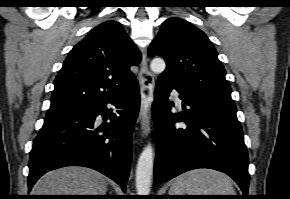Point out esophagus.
<instances>
[{
	"label": "esophagus",
	"mask_w": 290,
	"mask_h": 199,
	"mask_svg": "<svg viewBox=\"0 0 290 199\" xmlns=\"http://www.w3.org/2000/svg\"><path fill=\"white\" fill-rule=\"evenodd\" d=\"M139 85L141 94V106L139 112L140 126L143 135L148 136L150 131L151 105L154 99L155 78L148 69L146 53L143 54L140 64Z\"/></svg>",
	"instance_id": "34e87169"
}]
</instances>
